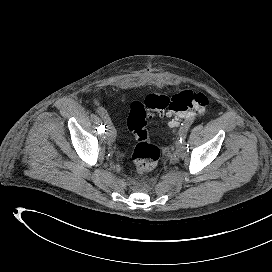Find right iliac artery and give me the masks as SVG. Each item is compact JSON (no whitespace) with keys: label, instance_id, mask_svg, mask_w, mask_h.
Here are the masks:
<instances>
[{"label":"right iliac artery","instance_id":"1","mask_svg":"<svg viewBox=\"0 0 272 272\" xmlns=\"http://www.w3.org/2000/svg\"><path fill=\"white\" fill-rule=\"evenodd\" d=\"M96 112L103 118L106 119L108 117V114L106 113L105 109L102 107H98L96 109Z\"/></svg>","mask_w":272,"mask_h":272}]
</instances>
